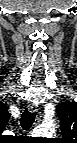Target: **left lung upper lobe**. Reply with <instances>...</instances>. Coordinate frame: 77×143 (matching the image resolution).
<instances>
[{
    "label": "left lung upper lobe",
    "instance_id": "left-lung-upper-lobe-1",
    "mask_svg": "<svg viewBox=\"0 0 77 143\" xmlns=\"http://www.w3.org/2000/svg\"><path fill=\"white\" fill-rule=\"evenodd\" d=\"M56 109L60 118L63 140L66 143H72L71 140L77 138V103H59Z\"/></svg>",
    "mask_w": 77,
    "mask_h": 143
}]
</instances>
